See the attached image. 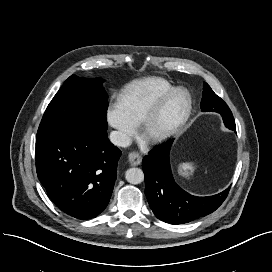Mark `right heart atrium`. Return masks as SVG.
I'll return each mask as SVG.
<instances>
[{"instance_id":"right-heart-atrium-1","label":"right heart atrium","mask_w":272,"mask_h":272,"mask_svg":"<svg viewBox=\"0 0 272 272\" xmlns=\"http://www.w3.org/2000/svg\"><path fill=\"white\" fill-rule=\"evenodd\" d=\"M108 124L115 129V141L126 143L135 133L136 126L127 118L119 103H112L106 110Z\"/></svg>"}]
</instances>
